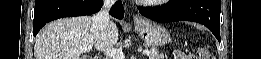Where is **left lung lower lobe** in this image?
Returning a JSON list of instances; mask_svg holds the SVG:
<instances>
[{
	"label": "left lung lower lobe",
	"instance_id": "0a47b994",
	"mask_svg": "<svg viewBox=\"0 0 261 59\" xmlns=\"http://www.w3.org/2000/svg\"><path fill=\"white\" fill-rule=\"evenodd\" d=\"M138 9L143 16L160 22L187 20L201 23L220 41V0H170L163 7Z\"/></svg>",
	"mask_w": 261,
	"mask_h": 59
}]
</instances>
